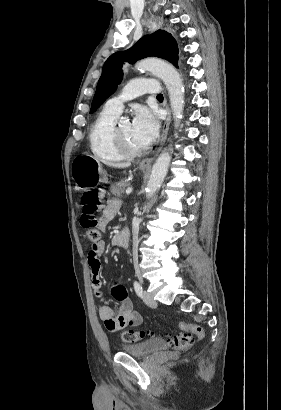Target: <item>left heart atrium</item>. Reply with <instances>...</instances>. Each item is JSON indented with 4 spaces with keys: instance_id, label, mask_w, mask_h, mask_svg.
<instances>
[{
    "instance_id": "1",
    "label": "left heart atrium",
    "mask_w": 281,
    "mask_h": 410,
    "mask_svg": "<svg viewBox=\"0 0 281 410\" xmlns=\"http://www.w3.org/2000/svg\"><path fill=\"white\" fill-rule=\"evenodd\" d=\"M131 125L134 138L144 147L151 144L158 135V120L156 116L145 107H140L136 110Z\"/></svg>"
}]
</instances>
